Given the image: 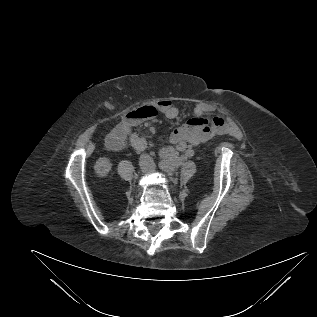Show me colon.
Here are the masks:
<instances>
[{
  "label": "colon",
  "instance_id": "obj_1",
  "mask_svg": "<svg viewBox=\"0 0 317 317\" xmlns=\"http://www.w3.org/2000/svg\"><path fill=\"white\" fill-rule=\"evenodd\" d=\"M158 114L155 106H143L130 113L131 121L138 122L140 120L153 118Z\"/></svg>",
  "mask_w": 317,
  "mask_h": 317
}]
</instances>
